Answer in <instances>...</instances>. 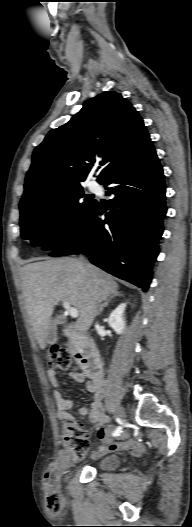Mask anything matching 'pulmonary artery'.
Masks as SVG:
<instances>
[{
  "mask_svg": "<svg viewBox=\"0 0 192 527\" xmlns=\"http://www.w3.org/2000/svg\"><path fill=\"white\" fill-rule=\"evenodd\" d=\"M97 188H98V185H97L95 182H91V183L89 184V189H90L91 191H95V190H97Z\"/></svg>",
  "mask_w": 192,
  "mask_h": 527,
  "instance_id": "pulmonary-artery-1",
  "label": "pulmonary artery"
}]
</instances>
